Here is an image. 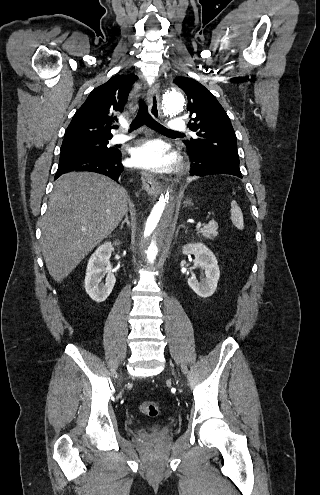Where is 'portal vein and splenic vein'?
<instances>
[{"label":"portal vein and splenic vein","instance_id":"portal-vein-and-splenic-vein-1","mask_svg":"<svg viewBox=\"0 0 320 495\" xmlns=\"http://www.w3.org/2000/svg\"><path fill=\"white\" fill-rule=\"evenodd\" d=\"M200 228H201V224L199 223L196 225V230H199Z\"/></svg>","mask_w":320,"mask_h":495}]
</instances>
